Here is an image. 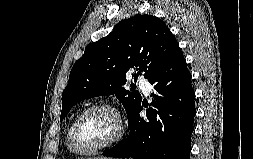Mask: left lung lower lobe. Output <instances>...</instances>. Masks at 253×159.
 I'll use <instances>...</instances> for the list:
<instances>
[{
	"label": "left lung lower lobe",
	"instance_id": "1",
	"mask_svg": "<svg viewBox=\"0 0 253 159\" xmlns=\"http://www.w3.org/2000/svg\"><path fill=\"white\" fill-rule=\"evenodd\" d=\"M149 82L154 85L152 108L140 117L141 102L128 120L129 135L104 156L135 159H189L195 93L186 60L179 50Z\"/></svg>",
	"mask_w": 253,
	"mask_h": 159
}]
</instances>
